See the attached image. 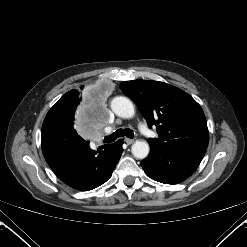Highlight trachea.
<instances>
[{"label": "trachea", "mask_w": 247, "mask_h": 247, "mask_svg": "<svg viewBox=\"0 0 247 247\" xmlns=\"http://www.w3.org/2000/svg\"><path fill=\"white\" fill-rule=\"evenodd\" d=\"M121 136H126L128 138H133L134 133L131 129L126 128V129H118L116 132H114L113 134H111L110 136H106L104 138V143H110L113 142L115 139H117L118 137Z\"/></svg>", "instance_id": "trachea-1"}]
</instances>
